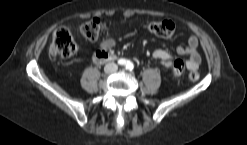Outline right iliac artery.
Wrapping results in <instances>:
<instances>
[{
	"label": "right iliac artery",
	"mask_w": 247,
	"mask_h": 145,
	"mask_svg": "<svg viewBox=\"0 0 247 145\" xmlns=\"http://www.w3.org/2000/svg\"><path fill=\"white\" fill-rule=\"evenodd\" d=\"M118 64L123 66V65L126 64V60L125 59H120V60H118Z\"/></svg>",
	"instance_id": "obj_1"
}]
</instances>
